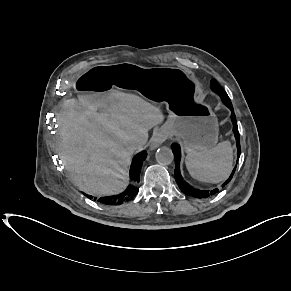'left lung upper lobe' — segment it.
<instances>
[{
  "label": "left lung upper lobe",
  "instance_id": "5c2ea615",
  "mask_svg": "<svg viewBox=\"0 0 291 291\" xmlns=\"http://www.w3.org/2000/svg\"><path fill=\"white\" fill-rule=\"evenodd\" d=\"M211 89L217 94H221V93L227 94L225 90L220 86V84L215 79H212L211 81Z\"/></svg>",
  "mask_w": 291,
  "mask_h": 291
}]
</instances>
